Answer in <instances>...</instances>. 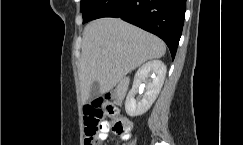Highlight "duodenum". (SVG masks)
<instances>
[{"instance_id":"410a0bca","label":"duodenum","mask_w":243,"mask_h":145,"mask_svg":"<svg viewBox=\"0 0 243 145\" xmlns=\"http://www.w3.org/2000/svg\"><path fill=\"white\" fill-rule=\"evenodd\" d=\"M125 90H126V81L123 80L118 87V95L122 96L124 94Z\"/></svg>"}]
</instances>
